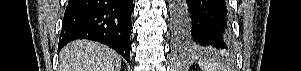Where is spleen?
<instances>
[{"label": "spleen", "instance_id": "spleen-1", "mask_svg": "<svg viewBox=\"0 0 301 71\" xmlns=\"http://www.w3.org/2000/svg\"><path fill=\"white\" fill-rule=\"evenodd\" d=\"M199 66L203 71H224V66L213 59H203L199 61Z\"/></svg>", "mask_w": 301, "mask_h": 71}]
</instances>
